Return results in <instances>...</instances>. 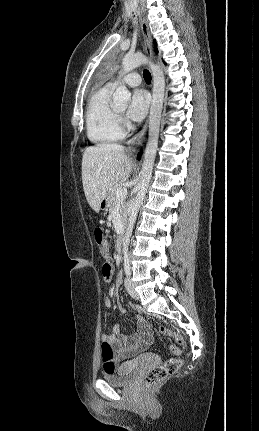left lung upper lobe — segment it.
I'll return each instance as SVG.
<instances>
[{
    "mask_svg": "<svg viewBox=\"0 0 259 431\" xmlns=\"http://www.w3.org/2000/svg\"><path fill=\"white\" fill-rule=\"evenodd\" d=\"M158 50H157V47H156V45H155V52H157Z\"/></svg>",
    "mask_w": 259,
    "mask_h": 431,
    "instance_id": "1",
    "label": "left lung upper lobe"
}]
</instances>
